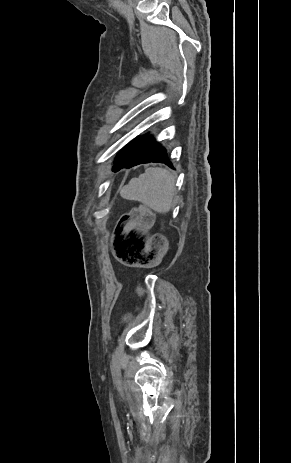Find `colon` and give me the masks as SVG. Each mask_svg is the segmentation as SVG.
Returning a JSON list of instances; mask_svg holds the SVG:
<instances>
[{
	"mask_svg": "<svg viewBox=\"0 0 291 463\" xmlns=\"http://www.w3.org/2000/svg\"><path fill=\"white\" fill-rule=\"evenodd\" d=\"M153 222V214L146 206H138L123 215L113 232L112 253L122 265L137 267L156 259L164 248L162 234L147 237L142 231Z\"/></svg>",
	"mask_w": 291,
	"mask_h": 463,
	"instance_id": "obj_1",
	"label": "colon"
}]
</instances>
